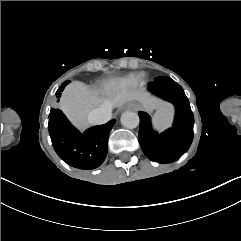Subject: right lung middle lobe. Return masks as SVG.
<instances>
[{
    "instance_id": "1",
    "label": "right lung middle lobe",
    "mask_w": 241,
    "mask_h": 241,
    "mask_svg": "<svg viewBox=\"0 0 241 241\" xmlns=\"http://www.w3.org/2000/svg\"><path fill=\"white\" fill-rule=\"evenodd\" d=\"M70 81H65L60 87L59 89L57 90L56 92V95H57V98L59 99L60 96H61V92L64 90L65 86L69 83ZM51 110H54V108H52Z\"/></svg>"
}]
</instances>
